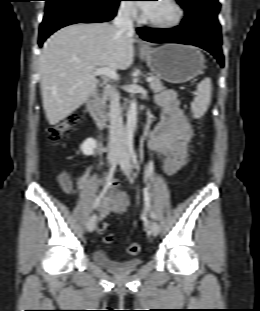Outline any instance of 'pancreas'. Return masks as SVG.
I'll return each instance as SVG.
<instances>
[{
  "label": "pancreas",
  "instance_id": "pancreas-1",
  "mask_svg": "<svg viewBox=\"0 0 260 311\" xmlns=\"http://www.w3.org/2000/svg\"><path fill=\"white\" fill-rule=\"evenodd\" d=\"M153 81L150 82L149 87L154 93H158L161 91H164L166 88L163 86L162 82L160 81V78L158 76H151ZM111 90L110 87H107L103 97H102V103L105 104V102L108 100L109 94Z\"/></svg>",
  "mask_w": 260,
  "mask_h": 311
}]
</instances>
